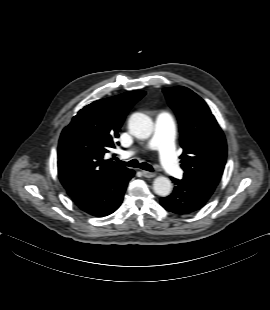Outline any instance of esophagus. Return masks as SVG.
I'll return each mask as SVG.
<instances>
[{"mask_svg":"<svg viewBox=\"0 0 270 310\" xmlns=\"http://www.w3.org/2000/svg\"><path fill=\"white\" fill-rule=\"evenodd\" d=\"M142 174L146 178H152L156 176L155 172H149V171H144V170L142 171Z\"/></svg>","mask_w":270,"mask_h":310,"instance_id":"34e87169","label":"esophagus"}]
</instances>
